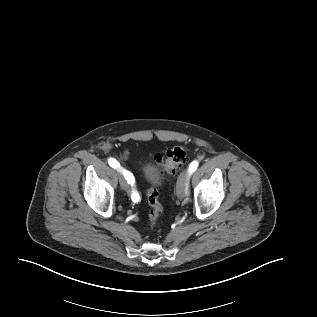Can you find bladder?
<instances>
[{
	"mask_svg": "<svg viewBox=\"0 0 317 317\" xmlns=\"http://www.w3.org/2000/svg\"><path fill=\"white\" fill-rule=\"evenodd\" d=\"M143 175L145 179L152 185H159L162 179L161 171L150 164L143 166Z\"/></svg>",
	"mask_w": 317,
	"mask_h": 317,
	"instance_id": "bladder-1",
	"label": "bladder"
}]
</instances>
